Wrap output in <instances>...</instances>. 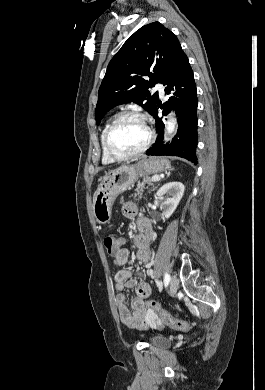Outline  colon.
Segmentation results:
<instances>
[{"mask_svg": "<svg viewBox=\"0 0 265 390\" xmlns=\"http://www.w3.org/2000/svg\"><path fill=\"white\" fill-rule=\"evenodd\" d=\"M104 245L110 255H114L118 249L117 237L108 235L104 239ZM147 311L157 318L160 326H167L175 330L188 331L193 327L192 323L172 317L163 310L160 304L154 300L146 301Z\"/></svg>", "mask_w": 265, "mask_h": 390, "instance_id": "1", "label": "colon"}]
</instances>
